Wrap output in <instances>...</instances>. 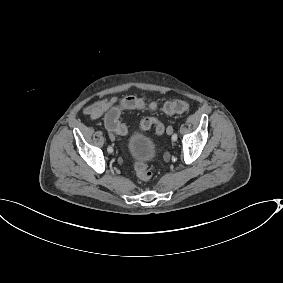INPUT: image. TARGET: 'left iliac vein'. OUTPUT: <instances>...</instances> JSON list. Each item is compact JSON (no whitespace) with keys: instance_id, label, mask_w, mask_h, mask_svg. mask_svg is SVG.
<instances>
[{"instance_id":"left-iliac-vein-1","label":"left iliac vein","mask_w":283,"mask_h":283,"mask_svg":"<svg viewBox=\"0 0 283 283\" xmlns=\"http://www.w3.org/2000/svg\"><path fill=\"white\" fill-rule=\"evenodd\" d=\"M172 132H173V128L171 127V126H169L168 128H167V134H172Z\"/></svg>"}]
</instances>
